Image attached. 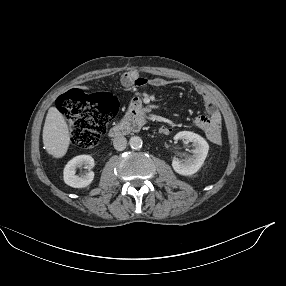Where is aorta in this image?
<instances>
[{
    "mask_svg": "<svg viewBox=\"0 0 286 286\" xmlns=\"http://www.w3.org/2000/svg\"><path fill=\"white\" fill-rule=\"evenodd\" d=\"M143 141L140 137L138 136H133L129 140V145L133 149H139L142 147Z\"/></svg>",
    "mask_w": 286,
    "mask_h": 286,
    "instance_id": "1",
    "label": "aorta"
}]
</instances>
